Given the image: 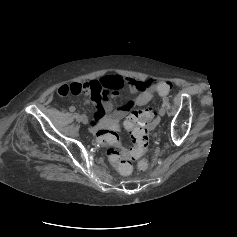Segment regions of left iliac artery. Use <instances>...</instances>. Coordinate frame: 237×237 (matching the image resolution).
<instances>
[{
  "label": "left iliac artery",
  "mask_w": 237,
  "mask_h": 237,
  "mask_svg": "<svg viewBox=\"0 0 237 237\" xmlns=\"http://www.w3.org/2000/svg\"><path fill=\"white\" fill-rule=\"evenodd\" d=\"M168 101H169V99H168L167 97H164V98H163V103H164V104H167Z\"/></svg>",
  "instance_id": "44dca946"
}]
</instances>
